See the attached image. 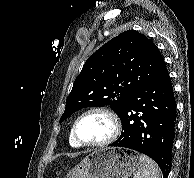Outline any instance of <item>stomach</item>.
Returning <instances> with one entry per match:
<instances>
[{"label": "stomach", "instance_id": "0dacf381", "mask_svg": "<svg viewBox=\"0 0 194 178\" xmlns=\"http://www.w3.org/2000/svg\"><path fill=\"white\" fill-rule=\"evenodd\" d=\"M139 167V155L130 149H98L69 171L67 178H129Z\"/></svg>", "mask_w": 194, "mask_h": 178}]
</instances>
